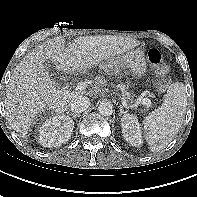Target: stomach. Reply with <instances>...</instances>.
Listing matches in <instances>:
<instances>
[{
    "label": "stomach",
    "instance_id": "1",
    "mask_svg": "<svg viewBox=\"0 0 197 197\" xmlns=\"http://www.w3.org/2000/svg\"><path fill=\"white\" fill-rule=\"evenodd\" d=\"M99 68L107 74H118L124 70L141 78L145 76L147 66L143 51L137 49L105 60L99 64Z\"/></svg>",
    "mask_w": 197,
    "mask_h": 197
}]
</instances>
